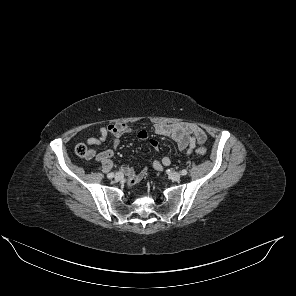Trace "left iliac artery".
Wrapping results in <instances>:
<instances>
[{"label":"left iliac artery","instance_id":"44dca946","mask_svg":"<svg viewBox=\"0 0 296 296\" xmlns=\"http://www.w3.org/2000/svg\"><path fill=\"white\" fill-rule=\"evenodd\" d=\"M187 170L186 169H183L182 171H181V175H183V176H185V175H187Z\"/></svg>","mask_w":296,"mask_h":296}]
</instances>
